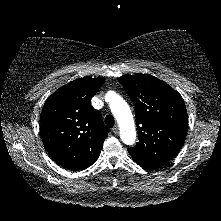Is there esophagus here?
Instances as JSON below:
<instances>
[{"label": "esophagus", "instance_id": "1", "mask_svg": "<svg viewBox=\"0 0 221 221\" xmlns=\"http://www.w3.org/2000/svg\"><path fill=\"white\" fill-rule=\"evenodd\" d=\"M112 131H113L114 134H118V132H119L118 126H114V127L112 128Z\"/></svg>", "mask_w": 221, "mask_h": 221}]
</instances>
